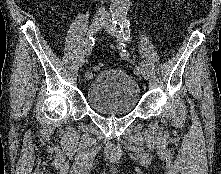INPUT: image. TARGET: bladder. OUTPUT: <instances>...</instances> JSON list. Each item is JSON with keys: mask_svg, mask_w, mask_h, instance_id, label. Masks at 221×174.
Returning <instances> with one entry per match:
<instances>
[{"mask_svg": "<svg viewBox=\"0 0 221 174\" xmlns=\"http://www.w3.org/2000/svg\"><path fill=\"white\" fill-rule=\"evenodd\" d=\"M86 99L88 105L97 113L128 114L139 103L140 87L124 70L107 69L101 71L89 82Z\"/></svg>", "mask_w": 221, "mask_h": 174, "instance_id": "obj_1", "label": "bladder"}]
</instances>
